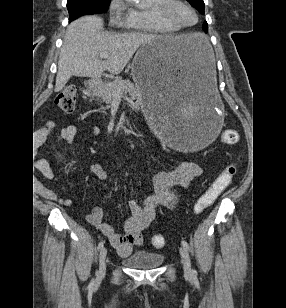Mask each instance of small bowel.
I'll use <instances>...</instances> for the list:
<instances>
[{"instance_id": "1", "label": "small bowel", "mask_w": 286, "mask_h": 308, "mask_svg": "<svg viewBox=\"0 0 286 308\" xmlns=\"http://www.w3.org/2000/svg\"><path fill=\"white\" fill-rule=\"evenodd\" d=\"M56 124L49 121L34 134V143L36 146L42 145L50 139L55 142L71 143L78 128L75 124H69L63 127L59 133L54 136ZM100 128L93 126L91 133L94 136L100 134ZM38 171L48 180H52L55 174L50 164L40 159L37 162ZM90 171L99 182L107 180V172L100 164H93ZM202 174V169L194 163H176L173 168L163 170L154 177L156 194L144 199L141 203L135 199L129 201L131 215L124 223V233L115 231L112 225L103 222L104 212L99 206L89 210L86 215L87 221L95 226L105 237L108 238L112 247L121 256H126L131 251L143 244V232L150 226L156 216V211L161 206H173L176 201L175 189L185 188L191 181ZM43 195L49 199L57 200L59 203L70 206L71 199H58L57 196L48 188H44Z\"/></svg>"}]
</instances>
